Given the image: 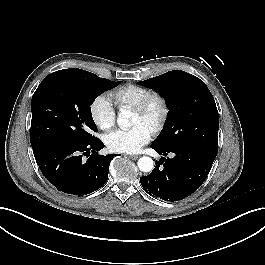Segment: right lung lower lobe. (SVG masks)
<instances>
[{"label": "right lung lower lobe", "mask_w": 265, "mask_h": 265, "mask_svg": "<svg viewBox=\"0 0 265 265\" xmlns=\"http://www.w3.org/2000/svg\"><path fill=\"white\" fill-rule=\"evenodd\" d=\"M103 147L97 138L87 144L52 145L33 152L51 184L67 194L83 196L101 188L108 179L109 164L116 154L99 155Z\"/></svg>", "instance_id": "right-lung-lower-lobe-1"}]
</instances>
